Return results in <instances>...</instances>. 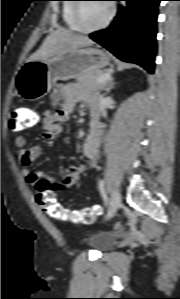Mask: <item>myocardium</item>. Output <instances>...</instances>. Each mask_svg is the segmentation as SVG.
<instances>
[{
	"label": "myocardium",
	"mask_w": 180,
	"mask_h": 299,
	"mask_svg": "<svg viewBox=\"0 0 180 299\" xmlns=\"http://www.w3.org/2000/svg\"><path fill=\"white\" fill-rule=\"evenodd\" d=\"M76 1L77 2L74 4L72 17H73V22L79 32L85 33V34L98 32V31L105 29L112 22L114 15H115V6L112 2H107L108 14H107L105 20L101 24H99L95 27H89V28L83 27L80 23V17H79L80 9L82 6V2H81L82 0H76ZM107 1H110V0H107Z\"/></svg>",
	"instance_id": "1"
}]
</instances>
